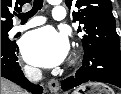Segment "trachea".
<instances>
[{"instance_id": "trachea-1", "label": "trachea", "mask_w": 121, "mask_h": 94, "mask_svg": "<svg viewBox=\"0 0 121 94\" xmlns=\"http://www.w3.org/2000/svg\"><path fill=\"white\" fill-rule=\"evenodd\" d=\"M43 7V0H34V4L32 9L26 13L18 14V18L21 19L22 22H26L29 18L34 16L40 9Z\"/></svg>"}]
</instances>
